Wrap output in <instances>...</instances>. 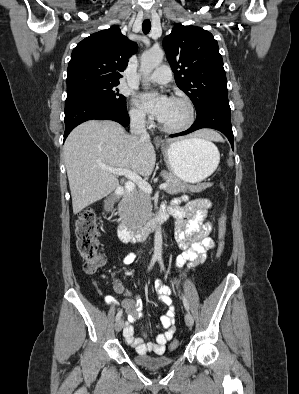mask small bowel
Segmentation results:
<instances>
[{
	"label": "small bowel",
	"mask_w": 299,
	"mask_h": 394,
	"mask_svg": "<svg viewBox=\"0 0 299 394\" xmlns=\"http://www.w3.org/2000/svg\"><path fill=\"white\" fill-rule=\"evenodd\" d=\"M186 200V197L176 199L168 208V211L176 219L175 238L179 248L182 250L176 261L178 267H183L185 264L189 266L201 264L206 259L208 252L215 246L213 239L210 237L212 226L207 221L208 210L212 206L211 201L208 199H195L187 202L185 205H181V202ZM134 259L135 256L133 254H128L123 259V263L126 265L131 264ZM114 289L118 294L127 296L122 301H118L112 296L106 297L107 302L123 307L124 314L127 317L124 327V336L127 342L140 355H147L151 352L158 355L162 354L166 343L172 339L175 332L176 308L173 304L170 287L161 280H157L155 283L156 293L161 302L167 306V311L160 317V324L164 332L159 334L155 341L147 342L143 339L146 337V334H143V337L134 335L133 324L144 316L140 296L132 293L119 281H115Z\"/></svg>",
	"instance_id": "1"
}]
</instances>
